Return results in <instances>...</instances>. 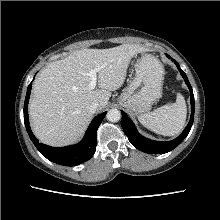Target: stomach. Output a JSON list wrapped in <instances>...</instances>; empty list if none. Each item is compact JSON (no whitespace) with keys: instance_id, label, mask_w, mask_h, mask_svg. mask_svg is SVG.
Instances as JSON below:
<instances>
[{"instance_id":"0dacf381","label":"stomach","mask_w":220,"mask_h":220,"mask_svg":"<svg viewBox=\"0 0 220 220\" xmlns=\"http://www.w3.org/2000/svg\"><path fill=\"white\" fill-rule=\"evenodd\" d=\"M164 69L159 60L144 54L136 63L135 77L118 98L120 106L134 115L148 112L161 97Z\"/></svg>"}]
</instances>
